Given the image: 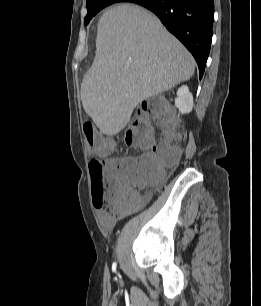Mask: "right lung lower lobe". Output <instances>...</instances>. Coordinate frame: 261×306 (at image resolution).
<instances>
[{"mask_svg": "<svg viewBox=\"0 0 261 306\" xmlns=\"http://www.w3.org/2000/svg\"><path fill=\"white\" fill-rule=\"evenodd\" d=\"M154 12L194 56L203 76L212 39L213 0H134Z\"/></svg>", "mask_w": 261, "mask_h": 306, "instance_id": "right-lung-lower-lobe-1", "label": "right lung lower lobe"}]
</instances>
